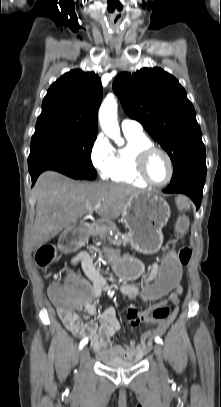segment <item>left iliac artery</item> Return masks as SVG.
<instances>
[{
	"mask_svg": "<svg viewBox=\"0 0 221 407\" xmlns=\"http://www.w3.org/2000/svg\"><path fill=\"white\" fill-rule=\"evenodd\" d=\"M155 341H156L157 343L163 344L162 339H161V338H159V337H157V338L155 339Z\"/></svg>",
	"mask_w": 221,
	"mask_h": 407,
	"instance_id": "obj_1",
	"label": "left iliac artery"
}]
</instances>
